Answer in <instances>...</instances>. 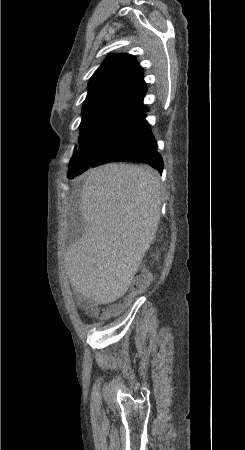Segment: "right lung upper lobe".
<instances>
[{
    "label": "right lung upper lobe",
    "instance_id": "obj_1",
    "mask_svg": "<svg viewBox=\"0 0 245 450\" xmlns=\"http://www.w3.org/2000/svg\"><path fill=\"white\" fill-rule=\"evenodd\" d=\"M142 67L129 54L110 55L95 71L88 84L83 111L91 108L112 107L144 113L146 83Z\"/></svg>",
    "mask_w": 245,
    "mask_h": 450
}]
</instances>
